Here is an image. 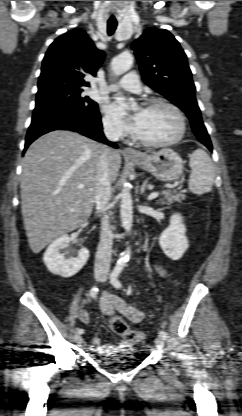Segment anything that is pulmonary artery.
<instances>
[{
  "mask_svg": "<svg viewBox=\"0 0 242 416\" xmlns=\"http://www.w3.org/2000/svg\"><path fill=\"white\" fill-rule=\"evenodd\" d=\"M109 90H124L132 93H139L141 91V83L135 72H129L118 82L111 85Z\"/></svg>",
  "mask_w": 242,
  "mask_h": 416,
  "instance_id": "pulmonary-artery-1",
  "label": "pulmonary artery"
}]
</instances>
